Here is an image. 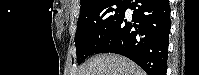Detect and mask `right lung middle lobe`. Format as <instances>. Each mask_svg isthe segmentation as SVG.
Returning a JSON list of instances; mask_svg holds the SVG:
<instances>
[{
  "mask_svg": "<svg viewBox=\"0 0 199 75\" xmlns=\"http://www.w3.org/2000/svg\"><path fill=\"white\" fill-rule=\"evenodd\" d=\"M127 0H106L88 10L80 12L75 45L77 62L94 54L120 21Z\"/></svg>",
  "mask_w": 199,
  "mask_h": 75,
  "instance_id": "dd1d6c3e",
  "label": "right lung middle lobe"
}]
</instances>
